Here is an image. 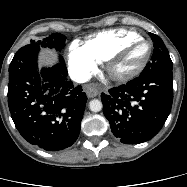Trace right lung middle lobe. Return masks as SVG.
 I'll return each mask as SVG.
<instances>
[{
	"instance_id": "dd1d6c3e",
	"label": "right lung middle lobe",
	"mask_w": 187,
	"mask_h": 187,
	"mask_svg": "<svg viewBox=\"0 0 187 187\" xmlns=\"http://www.w3.org/2000/svg\"><path fill=\"white\" fill-rule=\"evenodd\" d=\"M66 37L60 33L51 34L48 37H45L39 41L31 40L30 44L36 45L38 47H48L54 48L57 51H60L65 46Z\"/></svg>"
}]
</instances>
